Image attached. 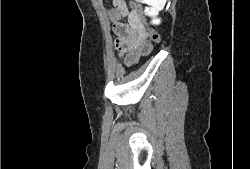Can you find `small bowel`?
I'll return each mask as SVG.
<instances>
[{"label": "small bowel", "mask_w": 250, "mask_h": 169, "mask_svg": "<svg viewBox=\"0 0 250 169\" xmlns=\"http://www.w3.org/2000/svg\"><path fill=\"white\" fill-rule=\"evenodd\" d=\"M122 14L125 12L121 11L115 6L110 12V17L113 21H118ZM131 24H135L133 18L129 17ZM123 33H119L120 38L117 41V47L120 49V55L124 59L127 65H132L137 62L141 56L145 55L150 51V45L145 41L141 42L138 38V33L135 29H127Z\"/></svg>", "instance_id": "small-bowel-1"}]
</instances>
